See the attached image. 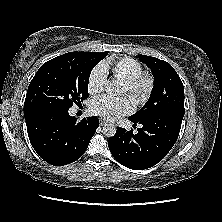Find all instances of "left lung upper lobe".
Segmentation results:
<instances>
[{"mask_svg":"<svg viewBox=\"0 0 222 222\" xmlns=\"http://www.w3.org/2000/svg\"><path fill=\"white\" fill-rule=\"evenodd\" d=\"M154 76V86L146 104L129 118L140 121L157 113L175 111L184 114V86L173 67L158 58L138 55Z\"/></svg>","mask_w":222,"mask_h":222,"instance_id":"1","label":"left lung upper lobe"}]
</instances>
